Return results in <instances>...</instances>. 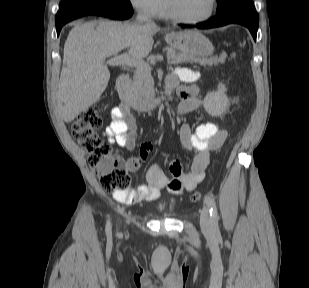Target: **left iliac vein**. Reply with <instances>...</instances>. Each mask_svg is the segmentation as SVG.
<instances>
[{
  "label": "left iliac vein",
  "mask_w": 309,
  "mask_h": 288,
  "mask_svg": "<svg viewBox=\"0 0 309 288\" xmlns=\"http://www.w3.org/2000/svg\"><path fill=\"white\" fill-rule=\"evenodd\" d=\"M200 225L204 233L211 235L213 233V223L209 208L203 207L200 214Z\"/></svg>",
  "instance_id": "1"
}]
</instances>
